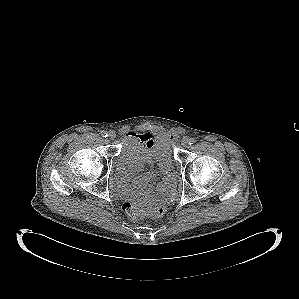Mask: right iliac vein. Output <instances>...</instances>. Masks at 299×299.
Returning a JSON list of instances; mask_svg holds the SVG:
<instances>
[{
  "label": "right iliac vein",
  "instance_id": "obj_1",
  "mask_svg": "<svg viewBox=\"0 0 299 299\" xmlns=\"http://www.w3.org/2000/svg\"><path fill=\"white\" fill-rule=\"evenodd\" d=\"M108 137H109L111 140H114V139L116 138V133H115L114 131H110Z\"/></svg>",
  "mask_w": 299,
  "mask_h": 299
}]
</instances>
